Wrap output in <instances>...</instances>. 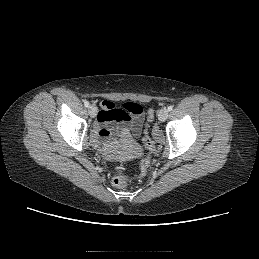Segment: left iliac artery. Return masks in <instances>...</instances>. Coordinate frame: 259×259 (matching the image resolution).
<instances>
[{
  "mask_svg": "<svg viewBox=\"0 0 259 259\" xmlns=\"http://www.w3.org/2000/svg\"><path fill=\"white\" fill-rule=\"evenodd\" d=\"M172 109H173V106L168 107V111H172Z\"/></svg>",
  "mask_w": 259,
  "mask_h": 259,
  "instance_id": "obj_1",
  "label": "left iliac artery"
}]
</instances>
